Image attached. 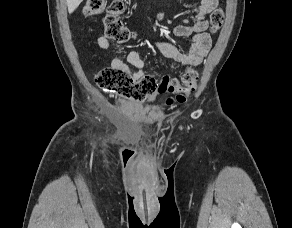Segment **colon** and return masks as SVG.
Here are the masks:
<instances>
[{
    "mask_svg": "<svg viewBox=\"0 0 292 228\" xmlns=\"http://www.w3.org/2000/svg\"><path fill=\"white\" fill-rule=\"evenodd\" d=\"M125 11L124 0H87L84 6L86 16L105 14V35L122 44L130 41L134 33L123 23L121 16ZM224 21L221 9H215L210 16L211 31L219 30ZM96 84L106 93L118 94L125 98L143 101L156 93L169 92L174 94L167 99V104L183 103L197 86L198 74L194 69L185 70L181 80H170L165 77L161 82L151 74L141 79H134L129 73L107 67L102 69L95 78Z\"/></svg>",
    "mask_w": 292,
    "mask_h": 228,
    "instance_id": "5ec220e1",
    "label": "colon"
}]
</instances>
